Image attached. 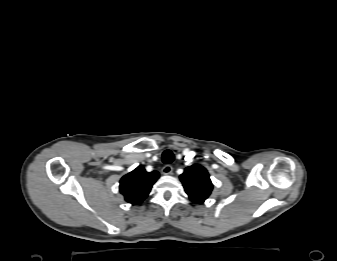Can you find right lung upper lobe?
I'll list each match as a JSON object with an SVG mask.
<instances>
[{"mask_svg":"<svg viewBox=\"0 0 337 261\" xmlns=\"http://www.w3.org/2000/svg\"><path fill=\"white\" fill-rule=\"evenodd\" d=\"M158 178L157 171L149 173L142 166H138L121 178L120 192L127 202L138 205L148 196Z\"/></svg>","mask_w":337,"mask_h":261,"instance_id":"cb5924a9","label":"right lung upper lobe"}]
</instances>
